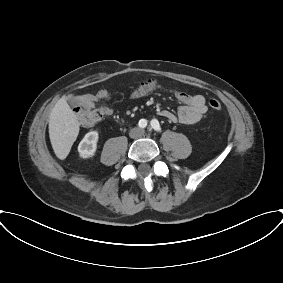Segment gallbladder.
Returning a JSON list of instances; mask_svg holds the SVG:
<instances>
[{"instance_id":"1","label":"gallbladder","mask_w":283,"mask_h":283,"mask_svg":"<svg viewBox=\"0 0 283 283\" xmlns=\"http://www.w3.org/2000/svg\"><path fill=\"white\" fill-rule=\"evenodd\" d=\"M69 104L72 105V106H75L78 104V101L74 98H71L68 100Z\"/></svg>"}]
</instances>
